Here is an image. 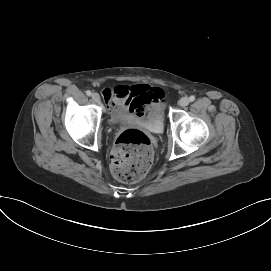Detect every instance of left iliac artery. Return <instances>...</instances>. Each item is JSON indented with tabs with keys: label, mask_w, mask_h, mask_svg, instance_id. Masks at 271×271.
<instances>
[{
	"label": "left iliac artery",
	"mask_w": 271,
	"mask_h": 271,
	"mask_svg": "<svg viewBox=\"0 0 271 271\" xmlns=\"http://www.w3.org/2000/svg\"><path fill=\"white\" fill-rule=\"evenodd\" d=\"M189 100H190L191 102H193V101L195 100V96H193V95L190 96V97H189Z\"/></svg>",
	"instance_id": "left-iliac-artery-1"
}]
</instances>
